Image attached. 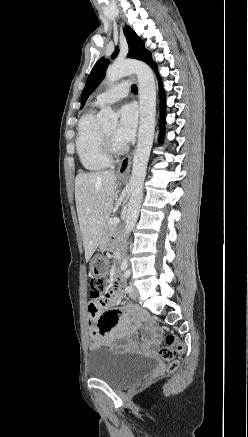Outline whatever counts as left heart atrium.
Masks as SVG:
<instances>
[{
    "mask_svg": "<svg viewBox=\"0 0 248 437\" xmlns=\"http://www.w3.org/2000/svg\"><path fill=\"white\" fill-rule=\"evenodd\" d=\"M137 110L132 104H125L119 110V122L114 133L115 140L124 145L130 142L136 131Z\"/></svg>",
    "mask_w": 248,
    "mask_h": 437,
    "instance_id": "obj_1",
    "label": "left heart atrium"
}]
</instances>
